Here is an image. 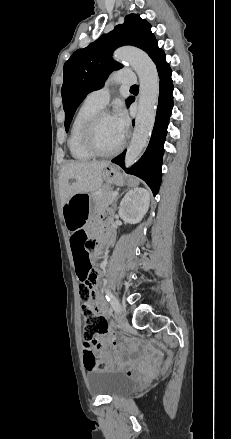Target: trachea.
Wrapping results in <instances>:
<instances>
[{"mask_svg":"<svg viewBox=\"0 0 231 439\" xmlns=\"http://www.w3.org/2000/svg\"><path fill=\"white\" fill-rule=\"evenodd\" d=\"M136 89H138V86H137V85H133V86H131V90H136Z\"/></svg>","mask_w":231,"mask_h":439,"instance_id":"1","label":"trachea"}]
</instances>
